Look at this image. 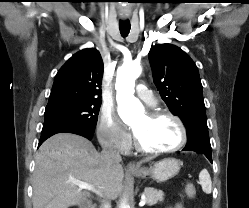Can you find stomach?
Listing matches in <instances>:
<instances>
[{"instance_id":"0dacf381","label":"stomach","mask_w":249,"mask_h":208,"mask_svg":"<svg viewBox=\"0 0 249 208\" xmlns=\"http://www.w3.org/2000/svg\"><path fill=\"white\" fill-rule=\"evenodd\" d=\"M181 163L179 160L174 158H166L161 161L156 162L152 167L145 168L142 167L138 170L131 171L133 175L146 178L151 176L158 182H164L179 173Z\"/></svg>"}]
</instances>
